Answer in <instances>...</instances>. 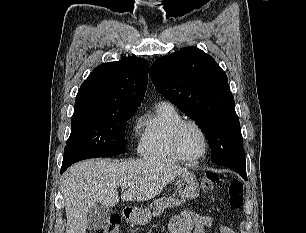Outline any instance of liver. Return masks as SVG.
<instances>
[{"instance_id": "liver-1", "label": "liver", "mask_w": 306, "mask_h": 233, "mask_svg": "<svg viewBox=\"0 0 306 233\" xmlns=\"http://www.w3.org/2000/svg\"><path fill=\"white\" fill-rule=\"evenodd\" d=\"M190 172L161 158L128 161L84 160L72 165L63 175L61 189L65 198V233H86L87 217L97 203L113 207L119 202L117 189L130 184L123 201H147L159 195L176 177Z\"/></svg>"}]
</instances>
